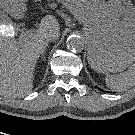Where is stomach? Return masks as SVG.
Masks as SVG:
<instances>
[{"label": "stomach", "mask_w": 135, "mask_h": 135, "mask_svg": "<svg viewBox=\"0 0 135 135\" xmlns=\"http://www.w3.org/2000/svg\"><path fill=\"white\" fill-rule=\"evenodd\" d=\"M27 0H4L13 13ZM83 24L88 62L99 73L122 71L135 61V8L130 0H55Z\"/></svg>", "instance_id": "0dacf381"}]
</instances>
